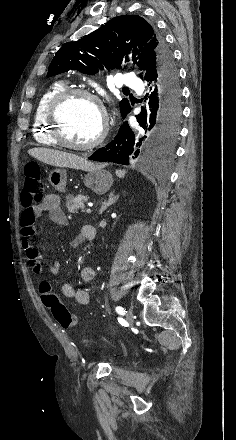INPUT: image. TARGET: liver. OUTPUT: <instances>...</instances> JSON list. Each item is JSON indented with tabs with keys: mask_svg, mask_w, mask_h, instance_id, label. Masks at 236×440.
<instances>
[{
	"mask_svg": "<svg viewBox=\"0 0 236 440\" xmlns=\"http://www.w3.org/2000/svg\"><path fill=\"white\" fill-rule=\"evenodd\" d=\"M28 153L39 161L56 166L89 171L97 167L86 159L71 153L48 148H33Z\"/></svg>",
	"mask_w": 236,
	"mask_h": 440,
	"instance_id": "obj_1",
	"label": "liver"
}]
</instances>
